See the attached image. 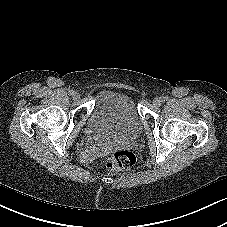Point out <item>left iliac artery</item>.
I'll return each instance as SVG.
<instances>
[{
	"label": "left iliac artery",
	"instance_id": "left-iliac-artery-1",
	"mask_svg": "<svg viewBox=\"0 0 227 227\" xmlns=\"http://www.w3.org/2000/svg\"><path fill=\"white\" fill-rule=\"evenodd\" d=\"M167 99H168V98L165 97V96L161 97L162 102L166 101Z\"/></svg>",
	"mask_w": 227,
	"mask_h": 227
}]
</instances>
